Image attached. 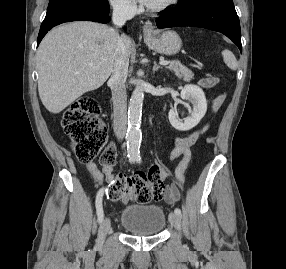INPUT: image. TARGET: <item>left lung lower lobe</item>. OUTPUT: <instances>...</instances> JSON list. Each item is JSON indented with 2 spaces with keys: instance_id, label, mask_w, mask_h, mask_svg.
<instances>
[{
  "instance_id": "1",
  "label": "left lung lower lobe",
  "mask_w": 286,
  "mask_h": 269,
  "mask_svg": "<svg viewBox=\"0 0 286 269\" xmlns=\"http://www.w3.org/2000/svg\"><path fill=\"white\" fill-rule=\"evenodd\" d=\"M161 13L158 28L194 26L218 31L242 52L240 22L232 1H203L186 8L169 7Z\"/></svg>"
}]
</instances>
